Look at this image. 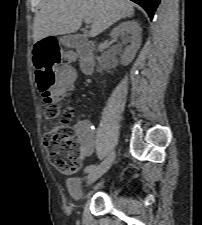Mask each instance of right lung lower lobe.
<instances>
[{"label": "right lung lower lobe", "mask_w": 202, "mask_h": 225, "mask_svg": "<svg viewBox=\"0 0 202 225\" xmlns=\"http://www.w3.org/2000/svg\"><path fill=\"white\" fill-rule=\"evenodd\" d=\"M132 1L142 6L144 10H146L151 19L153 18L154 12L160 2V0H132Z\"/></svg>", "instance_id": "98d812e1"}]
</instances>
